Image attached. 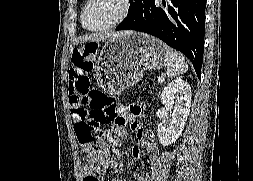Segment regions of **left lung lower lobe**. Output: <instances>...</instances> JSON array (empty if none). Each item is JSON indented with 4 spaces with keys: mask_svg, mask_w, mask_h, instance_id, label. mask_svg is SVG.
<instances>
[{
    "mask_svg": "<svg viewBox=\"0 0 253 181\" xmlns=\"http://www.w3.org/2000/svg\"><path fill=\"white\" fill-rule=\"evenodd\" d=\"M206 0H137L116 30L153 35L182 52L201 78Z\"/></svg>",
    "mask_w": 253,
    "mask_h": 181,
    "instance_id": "0a47b994",
    "label": "left lung lower lobe"
}]
</instances>
